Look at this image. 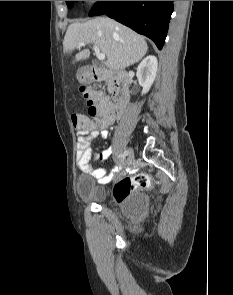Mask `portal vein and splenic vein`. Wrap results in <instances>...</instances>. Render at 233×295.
<instances>
[{
  "instance_id": "obj_1",
  "label": "portal vein and splenic vein",
  "mask_w": 233,
  "mask_h": 295,
  "mask_svg": "<svg viewBox=\"0 0 233 295\" xmlns=\"http://www.w3.org/2000/svg\"><path fill=\"white\" fill-rule=\"evenodd\" d=\"M85 44H86V42H80V43H78L77 47L80 48V47H82V46H85ZM93 49H94L95 54H96V56H97V58H98L99 60H105L106 55H105L104 53H101V52H100L98 46L94 45V46H93Z\"/></svg>"
}]
</instances>
